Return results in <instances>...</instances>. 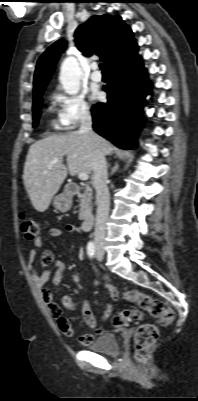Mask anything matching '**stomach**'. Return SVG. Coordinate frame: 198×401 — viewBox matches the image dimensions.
<instances>
[{
  "label": "stomach",
  "mask_w": 198,
  "mask_h": 401,
  "mask_svg": "<svg viewBox=\"0 0 198 401\" xmlns=\"http://www.w3.org/2000/svg\"><path fill=\"white\" fill-rule=\"evenodd\" d=\"M53 205L57 210L66 212L70 210L72 206V199L67 193L64 192L54 197Z\"/></svg>",
  "instance_id": "1"
}]
</instances>
